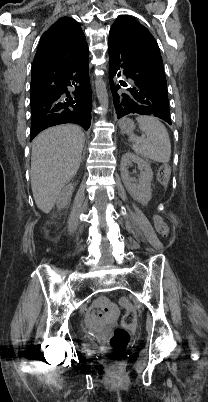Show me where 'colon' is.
I'll return each mask as SVG.
<instances>
[{"mask_svg":"<svg viewBox=\"0 0 208 402\" xmlns=\"http://www.w3.org/2000/svg\"><path fill=\"white\" fill-rule=\"evenodd\" d=\"M171 176V166L167 163L162 164L158 172V181L163 187H167ZM154 225L157 232L163 238H169L170 236V226L166 220L159 214L154 216ZM123 312V324H112L110 330L114 333L110 339L113 350L114 357L112 360L118 362L122 359L123 351L125 349L127 339H128V327H135L136 320L134 316L136 315V308L134 307V302L130 300L129 297H122L120 300Z\"/></svg>","mask_w":208,"mask_h":402,"instance_id":"obj_1","label":"colon"}]
</instances>
